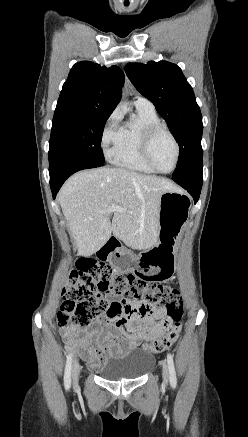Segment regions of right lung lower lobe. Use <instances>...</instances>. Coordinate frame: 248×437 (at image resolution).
Segmentation results:
<instances>
[{
    "instance_id": "1",
    "label": "right lung lower lobe",
    "mask_w": 248,
    "mask_h": 437,
    "mask_svg": "<svg viewBox=\"0 0 248 437\" xmlns=\"http://www.w3.org/2000/svg\"><path fill=\"white\" fill-rule=\"evenodd\" d=\"M103 166V163L94 162L84 157L66 156L50 162V186L53 198L64 183L73 173L89 168Z\"/></svg>"
}]
</instances>
